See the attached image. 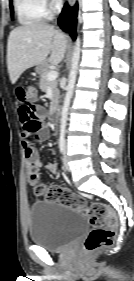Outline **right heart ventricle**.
Here are the masks:
<instances>
[{
	"mask_svg": "<svg viewBox=\"0 0 134 281\" xmlns=\"http://www.w3.org/2000/svg\"><path fill=\"white\" fill-rule=\"evenodd\" d=\"M15 10L20 23L30 25L48 17L44 0H14Z\"/></svg>",
	"mask_w": 134,
	"mask_h": 281,
	"instance_id": "1",
	"label": "right heart ventricle"
}]
</instances>
